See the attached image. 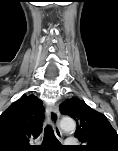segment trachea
<instances>
[{"label":"trachea","instance_id":"1","mask_svg":"<svg viewBox=\"0 0 118 151\" xmlns=\"http://www.w3.org/2000/svg\"><path fill=\"white\" fill-rule=\"evenodd\" d=\"M43 144H52V145L59 144L58 139L54 135V131L49 125H47L44 129Z\"/></svg>","mask_w":118,"mask_h":151}]
</instances>
